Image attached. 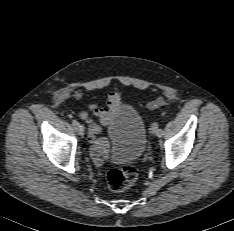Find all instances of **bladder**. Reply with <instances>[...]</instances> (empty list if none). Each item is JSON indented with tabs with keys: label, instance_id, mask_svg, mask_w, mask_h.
<instances>
[{
	"label": "bladder",
	"instance_id": "bladder-1",
	"mask_svg": "<svg viewBox=\"0 0 234 231\" xmlns=\"http://www.w3.org/2000/svg\"><path fill=\"white\" fill-rule=\"evenodd\" d=\"M110 138L115 143L112 160L125 163L139 158L146 146V126L138 111L122 103L113 115L108 127Z\"/></svg>",
	"mask_w": 234,
	"mask_h": 231
}]
</instances>
